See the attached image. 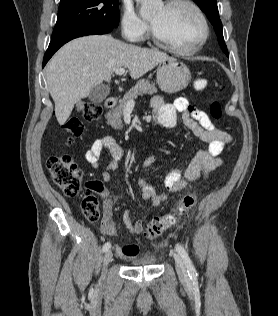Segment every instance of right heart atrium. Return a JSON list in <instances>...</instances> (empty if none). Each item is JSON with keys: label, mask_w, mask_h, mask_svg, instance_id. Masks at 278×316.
Listing matches in <instances>:
<instances>
[{"label": "right heart atrium", "mask_w": 278, "mask_h": 316, "mask_svg": "<svg viewBox=\"0 0 278 316\" xmlns=\"http://www.w3.org/2000/svg\"><path fill=\"white\" fill-rule=\"evenodd\" d=\"M148 23L140 18L133 7L124 5L121 16V30L124 37L131 42L142 41L148 33Z\"/></svg>", "instance_id": "1"}]
</instances>
